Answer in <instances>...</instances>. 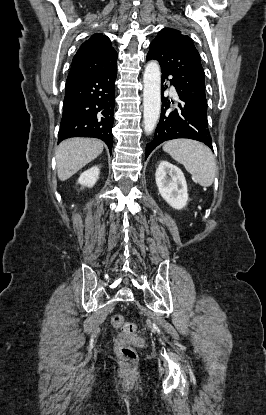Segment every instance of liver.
Returning <instances> with one entry per match:
<instances>
[{
    "label": "liver",
    "mask_w": 266,
    "mask_h": 415,
    "mask_svg": "<svg viewBox=\"0 0 266 415\" xmlns=\"http://www.w3.org/2000/svg\"><path fill=\"white\" fill-rule=\"evenodd\" d=\"M103 147L102 141L92 138H71L61 142L56 152L58 178L65 181L72 177L97 158Z\"/></svg>",
    "instance_id": "liver-1"
}]
</instances>
